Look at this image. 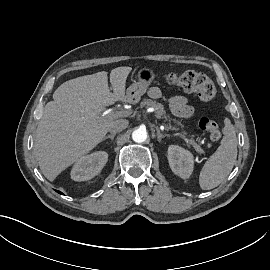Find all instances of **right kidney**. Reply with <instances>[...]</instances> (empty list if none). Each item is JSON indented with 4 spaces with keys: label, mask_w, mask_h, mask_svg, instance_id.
Wrapping results in <instances>:
<instances>
[{
    "label": "right kidney",
    "mask_w": 270,
    "mask_h": 270,
    "mask_svg": "<svg viewBox=\"0 0 270 270\" xmlns=\"http://www.w3.org/2000/svg\"><path fill=\"white\" fill-rule=\"evenodd\" d=\"M108 160L105 151L93 152L79 158L71 169V179L74 181H87L99 174Z\"/></svg>",
    "instance_id": "ca27d5eb"
}]
</instances>
